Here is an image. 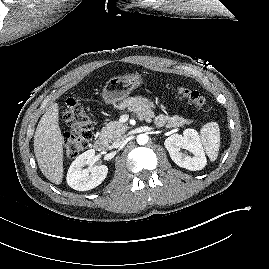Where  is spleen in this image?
I'll return each instance as SVG.
<instances>
[{
  "label": "spleen",
  "mask_w": 269,
  "mask_h": 269,
  "mask_svg": "<svg viewBox=\"0 0 269 269\" xmlns=\"http://www.w3.org/2000/svg\"><path fill=\"white\" fill-rule=\"evenodd\" d=\"M201 142L211 161H215L218 157L220 147V129L217 122H209L205 124L201 130Z\"/></svg>",
  "instance_id": "1"
}]
</instances>
